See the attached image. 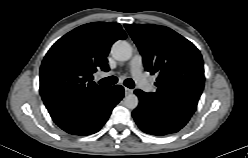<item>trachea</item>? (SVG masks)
Returning <instances> with one entry per match:
<instances>
[{
    "mask_svg": "<svg viewBox=\"0 0 248 158\" xmlns=\"http://www.w3.org/2000/svg\"><path fill=\"white\" fill-rule=\"evenodd\" d=\"M117 81H118L117 77L110 76V77L101 79L99 81V84L100 85H114L117 83ZM124 85L130 89L134 88V86H135L134 81L130 78H128L124 81Z\"/></svg>",
    "mask_w": 248,
    "mask_h": 158,
    "instance_id": "trachea-1",
    "label": "trachea"
}]
</instances>
